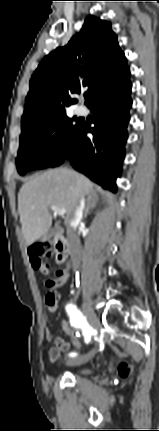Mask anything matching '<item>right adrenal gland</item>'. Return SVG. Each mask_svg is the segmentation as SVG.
I'll list each match as a JSON object with an SVG mask.
<instances>
[{"label":"right adrenal gland","instance_id":"2a0ac1e0","mask_svg":"<svg viewBox=\"0 0 159 431\" xmlns=\"http://www.w3.org/2000/svg\"><path fill=\"white\" fill-rule=\"evenodd\" d=\"M96 198H97V195H96V193L95 192H91L89 195H88V200H87V206H86V208H85V211H84V218H86L87 217V215H88V213H89V210H90V208H92V207H94L95 206V204H96ZM93 202L92 204L90 203V202Z\"/></svg>","mask_w":159,"mask_h":431}]
</instances>
